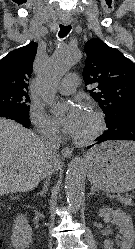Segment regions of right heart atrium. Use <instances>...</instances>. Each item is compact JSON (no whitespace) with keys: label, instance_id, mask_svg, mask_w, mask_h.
Listing matches in <instances>:
<instances>
[{"label":"right heart atrium","instance_id":"1","mask_svg":"<svg viewBox=\"0 0 135 249\" xmlns=\"http://www.w3.org/2000/svg\"><path fill=\"white\" fill-rule=\"evenodd\" d=\"M30 118L37 130L46 135H59L60 128L45 112L43 107L34 103L30 109Z\"/></svg>","mask_w":135,"mask_h":249}]
</instances>
